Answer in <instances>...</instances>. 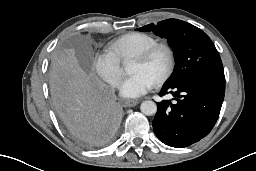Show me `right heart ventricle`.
Listing matches in <instances>:
<instances>
[{
	"instance_id": "right-heart-ventricle-1",
	"label": "right heart ventricle",
	"mask_w": 256,
	"mask_h": 171,
	"mask_svg": "<svg viewBox=\"0 0 256 171\" xmlns=\"http://www.w3.org/2000/svg\"><path fill=\"white\" fill-rule=\"evenodd\" d=\"M157 43L158 39L148 33L130 32L109 43L108 51L126 61Z\"/></svg>"
}]
</instances>
